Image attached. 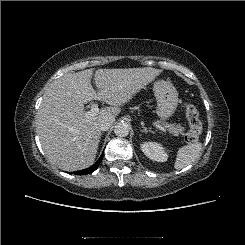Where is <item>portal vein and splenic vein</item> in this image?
Segmentation results:
<instances>
[{
  "instance_id": "portal-vein-and-splenic-vein-1",
  "label": "portal vein and splenic vein",
  "mask_w": 245,
  "mask_h": 245,
  "mask_svg": "<svg viewBox=\"0 0 245 245\" xmlns=\"http://www.w3.org/2000/svg\"><path fill=\"white\" fill-rule=\"evenodd\" d=\"M98 113H99L98 105H97V104H93V105L91 106V110H89V111L83 113V116L86 117V118H90V117H92V116L97 115ZM155 127L158 128V129L161 130V131L166 132V129H165L164 127H162L161 125L155 124Z\"/></svg>"
}]
</instances>
